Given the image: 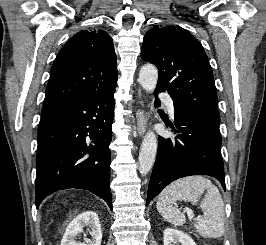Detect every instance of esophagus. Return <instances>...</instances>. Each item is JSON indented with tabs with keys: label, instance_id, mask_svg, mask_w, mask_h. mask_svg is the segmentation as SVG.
<instances>
[{
	"label": "esophagus",
	"instance_id": "34e87169",
	"mask_svg": "<svg viewBox=\"0 0 266 245\" xmlns=\"http://www.w3.org/2000/svg\"><path fill=\"white\" fill-rule=\"evenodd\" d=\"M142 104V102H139ZM137 118V132L139 136H143L146 133L147 116L143 108H139L136 113Z\"/></svg>",
	"mask_w": 266,
	"mask_h": 245
}]
</instances>
